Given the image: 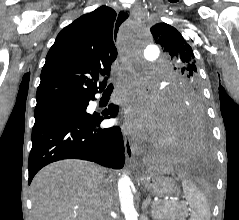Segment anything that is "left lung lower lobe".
I'll return each mask as SVG.
<instances>
[{
  "instance_id": "left-lung-lower-lobe-1",
  "label": "left lung lower lobe",
  "mask_w": 239,
  "mask_h": 220,
  "mask_svg": "<svg viewBox=\"0 0 239 220\" xmlns=\"http://www.w3.org/2000/svg\"><path fill=\"white\" fill-rule=\"evenodd\" d=\"M174 145L171 160L196 166L212 157L209 128L201 107L171 114Z\"/></svg>"
}]
</instances>
